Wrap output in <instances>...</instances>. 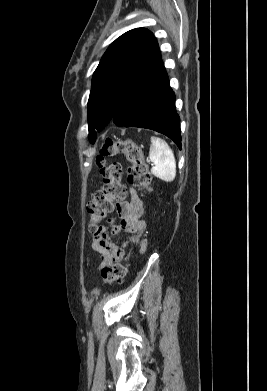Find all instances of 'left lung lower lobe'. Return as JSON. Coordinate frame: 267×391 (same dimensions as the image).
Returning a JSON list of instances; mask_svg holds the SVG:
<instances>
[{
    "label": "left lung lower lobe",
    "mask_w": 267,
    "mask_h": 391,
    "mask_svg": "<svg viewBox=\"0 0 267 391\" xmlns=\"http://www.w3.org/2000/svg\"><path fill=\"white\" fill-rule=\"evenodd\" d=\"M112 120L120 127L147 128L162 133L181 149L175 94L169 86L162 59L131 89Z\"/></svg>",
    "instance_id": "0a47b994"
}]
</instances>
